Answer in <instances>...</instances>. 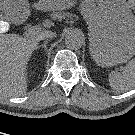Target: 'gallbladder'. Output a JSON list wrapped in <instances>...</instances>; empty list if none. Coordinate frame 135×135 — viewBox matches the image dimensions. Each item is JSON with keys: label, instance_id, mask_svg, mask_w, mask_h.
Here are the masks:
<instances>
[{"label": "gallbladder", "instance_id": "obj_1", "mask_svg": "<svg viewBox=\"0 0 135 135\" xmlns=\"http://www.w3.org/2000/svg\"><path fill=\"white\" fill-rule=\"evenodd\" d=\"M3 5L4 4V0H0V5ZM0 19H2V17H1V14H0Z\"/></svg>", "mask_w": 135, "mask_h": 135}]
</instances>
